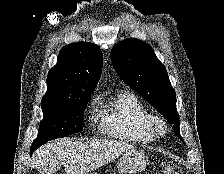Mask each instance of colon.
<instances>
[{
	"label": "colon",
	"mask_w": 224,
	"mask_h": 174,
	"mask_svg": "<svg viewBox=\"0 0 224 174\" xmlns=\"http://www.w3.org/2000/svg\"><path fill=\"white\" fill-rule=\"evenodd\" d=\"M164 174H182V169L179 165L172 161L164 163Z\"/></svg>",
	"instance_id": "colon-1"
}]
</instances>
